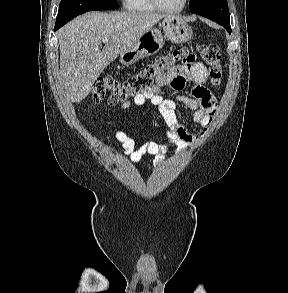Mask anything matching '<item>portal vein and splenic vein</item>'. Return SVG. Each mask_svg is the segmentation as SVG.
Masks as SVG:
<instances>
[{"instance_id": "1", "label": "portal vein and splenic vein", "mask_w": 288, "mask_h": 293, "mask_svg": "<svg viewBox=\"0 0 288 293\" xmlns=\"http://www.w3.org/2000/svg\"><path fill=\"white\" fill-rule=\"evenodd\" d=\"M108 41H109L108 38H104V39L102 40L103 43H107Z\"/></svg>"}]
</instances>
